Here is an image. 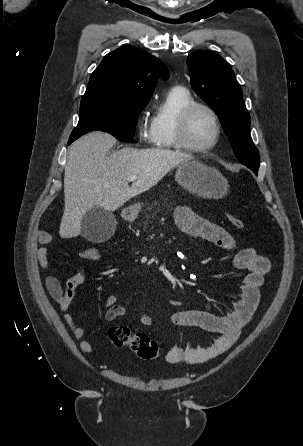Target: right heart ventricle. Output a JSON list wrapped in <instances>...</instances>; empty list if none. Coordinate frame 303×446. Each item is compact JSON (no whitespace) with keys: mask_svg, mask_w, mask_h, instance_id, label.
<instances>
[{"mask_svg":"<svg viewBox=\"0 0 303 446\" xmlns=\"http://www.w3.org/2000/svg\"><path fill=\"white\" fill-rule=\"evenodd\" d=\"M193 102L190 92L180 86L172 87L157 106L149 132L151 144L159 149H177L176 122L180 112Z\"/></svg>","mask_w":303,"mask_h":446,"instance_id":"right-heart-ventricle-1","label":"right heart ventricle"}]
</instances>
